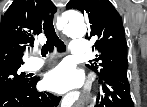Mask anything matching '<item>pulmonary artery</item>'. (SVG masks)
<instances>
[{"mask_svg":"<svg viewBox=\"0 0 147 107\" xmlns=\"http://www.w3.org/2000/svg\"><path fill=\"white\" fill-rule=\"evenodd\" d=\"M87 49V43L83 39H74L71 42V52L73 54H85ZM44 65V60L38 57L30 59L27 63L29 70H36Z\"/></svg>","mask_w":147,"mask_h":107,"instance_id":"obj_1","label":"pulmonary artery"}]
</instances>
